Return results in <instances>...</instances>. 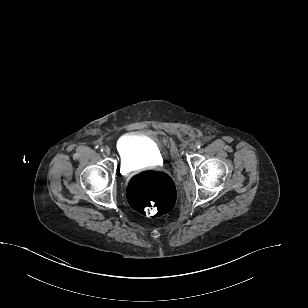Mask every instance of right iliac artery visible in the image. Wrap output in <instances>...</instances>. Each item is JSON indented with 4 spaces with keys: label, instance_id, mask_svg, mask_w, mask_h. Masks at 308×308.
<instances>
[{
    "label": "right iliac artery",
    "instance_id": "obj_1",
    "mask_svg": "<svg viewBox=\"0 0 308 308\" xmlns=\"http://www.w3.org/2000/svg\"><path fill=\"white\" fill-rule=\"evenodd\" d=\"M96 148H98V146ZM99 150L102 152L104 149L103 147H100Z\"/></svg>",
    "mask_w": 308,
    "mask_h": 308
}]
</instances>
